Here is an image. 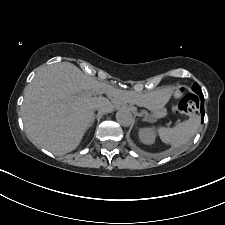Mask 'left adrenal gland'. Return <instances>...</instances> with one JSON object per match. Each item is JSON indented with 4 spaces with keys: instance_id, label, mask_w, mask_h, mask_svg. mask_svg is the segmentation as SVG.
Segmentation results:
<instances>
[{
    "instance_id": "obj_1",
    "label": "left adrenal gland",
    "mask_w": 225,
    "mask_h": 225,
    "mask_svg": "<svg viewBox=\"0 0 225 225\" xmlns=\"http://www.w3.org/2000/svg\"><path fill=\"white\" fill-rule=\"evenodd\" d=\"M144 121H148V119L146 117H144Z\"/></svg>"
}]
</instances>
